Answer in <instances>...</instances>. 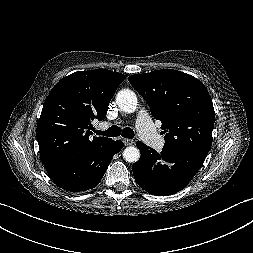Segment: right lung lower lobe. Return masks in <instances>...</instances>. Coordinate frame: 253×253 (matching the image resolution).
<instances>
[{
  "label": "right lung lower lobe",
  "instance_id": "1",
  "mask_svg": "<svg viewBox=\"0 0 253 253\" xmlns=\"http://www.w3.org/2000/svg\"><path fill=\"white\" fill-rule=\"evenodd\" d=\"M123 147L121 140H109L86 153L63 157L45 164L54 183L70 192L92 189L98 185L114 154Z\"/></svg>",
  "mask_w": 253,
  "mask_h": 253
}]
</instances>
